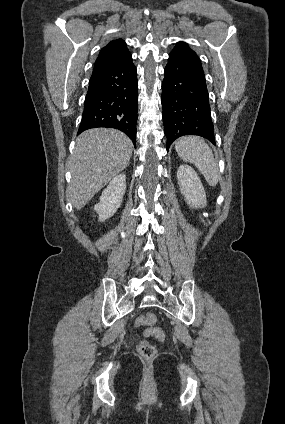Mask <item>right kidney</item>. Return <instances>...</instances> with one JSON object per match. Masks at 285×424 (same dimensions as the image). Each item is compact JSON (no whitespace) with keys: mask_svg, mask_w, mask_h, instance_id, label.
Instances as JSON below:
<instances>
[{"mask_svg":"<svg viewBox=\"0 0 285 424\" xmlns=\"http://www.w3.org/2000/svg\"><path fill=\"white\" fill-rule=\"evenodd\" d=\"M126 190V175L119 174L114 177L103 190L100 202L94 206L98 220L104 222L114 215L122 203Z\"/></svg>","mask_w":285,"mask_h":424,"instance_id":"obj_1","label":"right kidney"}]
</instances>
